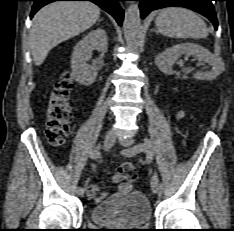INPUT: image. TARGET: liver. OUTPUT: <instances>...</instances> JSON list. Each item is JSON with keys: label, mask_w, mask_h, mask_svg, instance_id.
<instances>
[{"label": "liver", "mask_w": 234, "mask_h": 231, "mask_svg": "<svg viewBox=\"0 0 234 231\" xmlns=\"http://www.w3.org/2000/svg\"><path fill=\"white\" fill-rule=\"evenodd\" d=\"M100 8L91 2H54L39 10L33 18L30 46L36 66H40L52 48L92 27Z\"/></svg>", "instance_id": "6515ba94"}]
</instances>
